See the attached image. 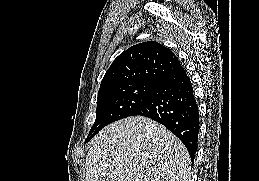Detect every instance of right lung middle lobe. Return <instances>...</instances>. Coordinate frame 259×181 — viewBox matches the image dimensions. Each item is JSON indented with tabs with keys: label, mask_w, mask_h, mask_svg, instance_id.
Wrapping results in <instances>:
<instances>
[{
	"label": "right lung middle lobe",
	"mask_w": 259,
	"mask_h": 181,
	"mask_svg": "<svg viewBox=\"0 0 259 181\" xmlns=\"http://www.w3.org/2000/svg\"><path fill=\"white\" fill-rule=\"evenodd\" d=\"M156 85L155 83H135L98 92L96 120L85 142H88L108 124L131 116L151 97Z\"/></svg>",
	"instance_id": "obj_1"
}]
</instances>
